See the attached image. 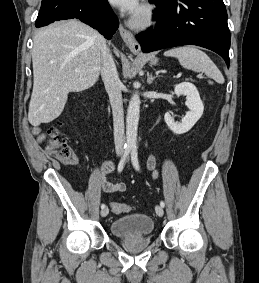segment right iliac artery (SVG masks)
Masks as SVG:
<instances>
[{
    "label": "right iliac artery",
    "mask_w": 259,
    "mask_h": 283,
    "mask_svg": "<svg viewBox=\"0 0 259 283\" xmlns=\"http://www.w3.org/2000/svg\"><path fill=\"white\" fill-rule=\"evenodd\" d=\"M130 147L129 146H125L124 147V154H123V156H122V158H121V160H120V162H119V164H118V172H121L122 170H123V168H124V165H125V162H126V159H127V157H128V154H129V152H130ZM106 207V205L105 204H102L101 205V208L102 209H104Z\"/></svg>",
    "instance_id": "right-iliac-artery-1"
}]
</instances>
